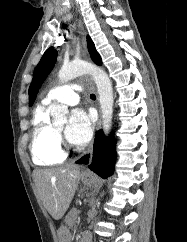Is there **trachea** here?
<instances>
[{
	"label": "trachea",
	"mask_w": 187,
	"mask_h": 242,
	"mask_svg": "<svg viewBox=\"0 0 187 242\" xmlns=\"http://www.w3.org/2000/svg\"><path fill=\"white\" fill-rule=\"evenodd\" d=\"M90 98L95 99L96 96H95L94 94H91V95H90Z\"/></svg>",
	"instance_id": "trachea-1"
}]
</instances>
